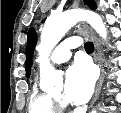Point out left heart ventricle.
Listing matches in <instances>:
<instances>
[{
	"label": "left heart ventricle",
	"mask_w": 121,
	"mask_h": 113,
	"mask_svg": "<svg viewBox=\"0 0 121 113\" xmlns=\"http://www.w3.org/2000/svg\"><path fill=\"white\" fill-rule=\"evenodd\" d=\"M52 95H53L54 97H56V98L61 99V90L52 93Z\"/></svg>",
	"instance_id": "b2bd125f"
}]
</instances>
